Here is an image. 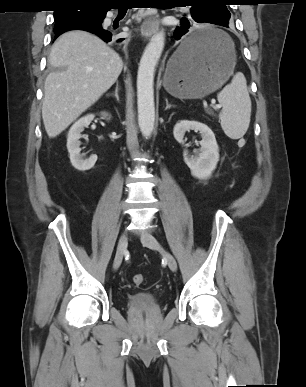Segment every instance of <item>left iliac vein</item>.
<instances>
[{
	"instance_id": "left-iliac-vein-1",
	"label": "left iliac vein",
	"mask_w": 306,
	"mask_h": 387,
	"mask_svg": "<svg viewBox=\"0 0 306 387\" xmlns=\"http://www.w3.org/2000/svg\"><path fill=\"white\" fill-rule=\"evenodd\" d=\"M141 242L144 246H146L148 248L160 251L162 253V255L164 256L170 270L173 272H176L177 262H176L175 258L173 257V255H171L169 252L165 251L162 248L160 243L157 241V239L153 235H151L149 233L144 234L141 237Z\"/></svg>"
}]
</instances>
